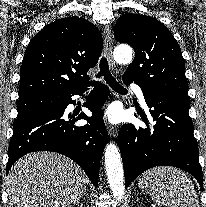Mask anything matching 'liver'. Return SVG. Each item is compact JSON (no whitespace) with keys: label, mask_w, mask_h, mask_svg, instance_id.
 I'll list each match as a JSON object with an SVG mask.
<instances>
[{"label":"liver","mask_w":206,"mask_h":207,"mask_svg":"<svg viewBox=\"0 0 206 207\" xmlns=\"http://www.w3.org/2000/svg\"><path fill=\"white\" fill-rule=\"evenodd\" d=\"M87 185L86 174L75 162L53 152L23 156L7 178L11 207H73Z\"/></svg>","instance_id":"6515ba94"}]
</instances>
